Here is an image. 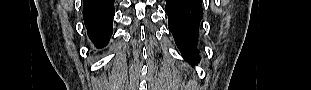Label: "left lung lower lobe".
I'll list each match as a JSON object with an SVG mask.
<instances>
[{"mask_svg":"<svg viewBox=\"0 0 311 90\" xmlns=\"http://www.w3.org/2000/svg\"><path fill=\"white\" fill-rule=\"evenodd\" d=\"M165 12L169 31L173 34L182 56L191 64L199 61L197 38L202 19L201 0H166Z\"/></svg>","mask_w":311,"mask_h":90,"instance_id":"1","label":"left lung lower lobe"}]
</instances>
